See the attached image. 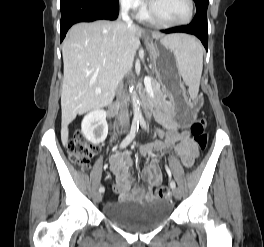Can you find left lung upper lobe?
Listing matches in <instances>:
<instances>
[{
    "mask_svg": "<svg viewBox=\"0 0 264 247\" xmlns=\"http://www.w3.org/2000/svg\"><path fill=\"white\" fill-rule=\"evenodd\" d=\"M197 13L207 14L209 0H194Z\"/></svg>",
    "mask_w": 264,
    "mask_h": 247,
    "instance_id": "obj_1",
    "label": "left lung upper lobe"
}]
</instances>
